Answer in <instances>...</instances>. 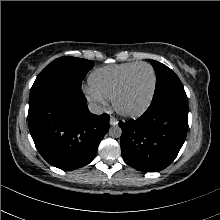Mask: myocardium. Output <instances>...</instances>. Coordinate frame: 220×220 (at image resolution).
I'll use <instances>...</instances> for the list:
<instances>
[{"mask_svg": "<svg viewBox=\"0 0 220 220\" xmlns=\"http://www.w3.org/2000/svg\"><path fill=\"white\" fill-rule=\"evenodd\" d=\"M141 66L148 67L151 70V73H152V88H151L149 97H148L147 101L145 102V104L141 108H139L137 110H134V111L122 110L119 107V105H118L119 98L121 97V95L125 91L126 86L128 84V81H129L131 75L133 74V72L137 68H139ZM156 85H157V75H156V71L153 68V66L151 64H149V63H146V62L137 63L133 68H131L126 73V75L122 79L121 83L119 84L118 88L116 89V91H115V93H114V95L112 97V105H113L114 110L119 115H121V116H123L125 118H137V117L143 115L148 110V108L150 107V105H151V103L153 101V98H154V95H155V91H156Z\"/></svg>", "mask_w": 220, "mask_h": 220, "instance_id": "obj_1", "label": "myocardium"}]
</instances>
